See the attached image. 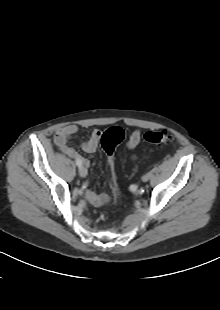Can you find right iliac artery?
I'll use <instances>...</instances> for the list:
<instances>
[{
  "label": "right iliac artery",
  "mask_w": 220,
  "mask_h": 310,
  "mask_svg": "<svg viewBox=\"0 0 220 310\" xmlns=\"http://www.w3.org/2000/svg\"><path fill=\"white\" fill-rule=\"evenodd\" d=\"M76 165L80 168L82 167V161L80 159H76Z\"/></svg>",
  "instance_id": "82829eb1"
}]
</instances>
